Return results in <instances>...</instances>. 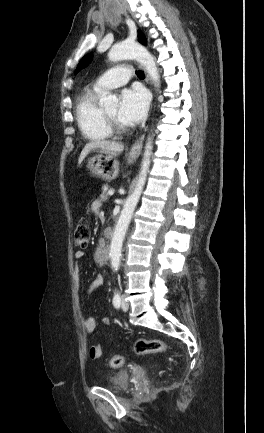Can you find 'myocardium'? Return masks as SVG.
I'll return each mask as SVG.
<instances>
[{
  "instance_id": "myocardium-1",
  "label": "myocardium",
  "mask_w": 264,
  "mask_h": 433,
  "mask_svg": "<svg viewBox=\"0 0 264 433\" xmlns=\"http://www.w3.org/2000/svg\"><path fill=\"white\" fill-rule=\"evenodd\" d=\"M103 114L112 132L116 134H123L127 131V128L124 125H122L117 119L109 115L105 110H103Z\"/></svg>"
}]
</instances>
